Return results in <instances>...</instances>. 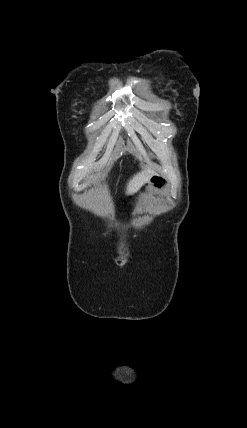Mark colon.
Instances as JSON below:
<instances>
[{
  "mask_svg": "<svg viewBox=\"0 0 247 428\" xmlns=\"http://www.w3.org/2000/svg\"><path fill=\"white\" fill-rule=\"evenodd\" d=\"M152 183L155 185V186H160L161 185V180L160 179H158V178H155V179H153L152 180ZM142 200H144L145 198L144 197H142L141 198ZM125 205H126V207H128V208H132V207H134V205H135V202H134V200H132V199H128V200H126V202H125ZM129 215H134V210H129Z\"/></svg>",
  "mask_w": 247,
  "mask_h": 428,
  "instance_id": "colon-1",
  "label": "colon"
}]
</instances>
